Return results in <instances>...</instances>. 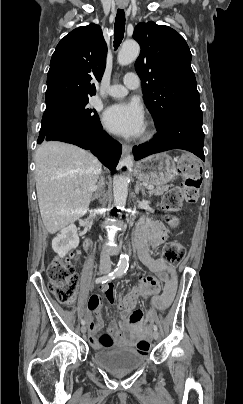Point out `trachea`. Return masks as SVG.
<instances>
[{
	"mask_svg": "<svg viewBox=\"0 0 243 404\" xmlns=\"http://www.w3.org/2000/svg\"><path fill=\"white\" fill-rule=\"evenodd\" d=\"M125 32V12L124 10L118 9L114 25V47L115 50L119 47L123 40Z\"/></svg>",
	"mask_w": 243,
	"mask_h": 404,
	"instance_id": "obj_1",
	"label": "trachea"
}]
</instances>
